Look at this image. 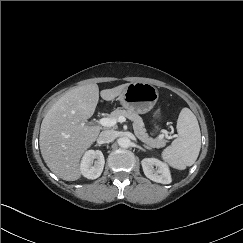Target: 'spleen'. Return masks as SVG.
Segmentation results:
<instances>
[{
    "label": "spleen",
    "mask_w": 243,
    "mask_h": 243,
    "mask_svg": "<svg viewBox=\"0 0 243 243\" xmlns=\"http://www.w3.org/2000/svg\"><path fill=\"white\" fill-rule=\"evenodd\" d=\"M178 138L162 152V159L171 167L184 170L192 166L200 152L201 133L196 116L183 108L177 120Z\"/></svg>",
    "instance_id": "1"
}]
</instances>
